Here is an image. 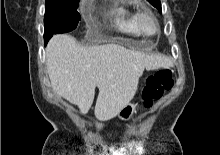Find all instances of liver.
I'll list each match as a JSON object with an SVG mask.
<instances>
[{
    "mask_svg": "<svg viewBox=\"0 0 220 155\" xmlns=\"http://www.w3.org/2000/svg\"><path fill=\"white\" fill-rule=\"evenodd\" d=\"M171 65L166 56L115 43L83 47L66 34L53 36L46 47V67L53 91L86 114L98 87L94 113L99 121L114 118L130 103L145 69Z\"/></svg>",
    "mask_w": 220,
    "mask_h": 155,
    "instance_id": "1",
    "label": "liver"
}]
</instances>
